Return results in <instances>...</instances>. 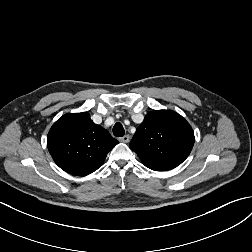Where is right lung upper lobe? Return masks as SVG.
<instances>
[{"instance_id":"1","label":"right lung upper lobe","mask_w":252,"mask_h":252,"mask_svg":"<svg viewBox=\"0 0 252 252\" xmlns=\"http://www.w3.org/2000/svg\"><path fill=\"white\" fill-rule=\"evenodd\" d=\"M116 144L118 141L95 124L87 112L63 115L47 136V146L55 163L62 170L80 176L102 166Z\"/></svg>"}]
</instances>
